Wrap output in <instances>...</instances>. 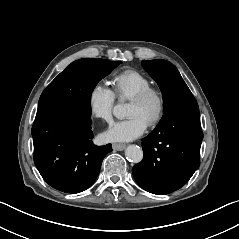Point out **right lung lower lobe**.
Returning a JSON list of instances; mask_svg holds the SVG:
<instances>
[{"instance_id":"1","label":"right lung lower lobe","mask_w":239,"mask_h":239,"mask_svg":"<svg viewBox=\"0 0 239 239\" xmlns=\"http://www.w3.org/2000/svg\"><path fill=\"white\" fill-rule=\"evenodd\" d=\"M90 118V103L82 98L38 106L32 126L34 163L44 181L58 191L79 193L89 188L112 151L111 144H93Z\"/></svg>"}]
</instances>
